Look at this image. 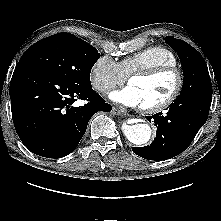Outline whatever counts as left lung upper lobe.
Instances as JSON below:
<instances>
[{"mask_svg": "<svg viewBox=\"0 0 221 221\" xmlns=\"http://www.w3.org/2000/svg\"><path fill=\"white\" fill-rule=\"evenodd\" d=\"M165 41L177 52L184 71L182 91L176 100L212 87L207 64L197 50L185 41L172 36L166 37Z\"/></svg>", "mask_w": 221, "mask_h": 221, "instance_id": "obj_1", "label": "left lung upper lobe"}]
</instances>
